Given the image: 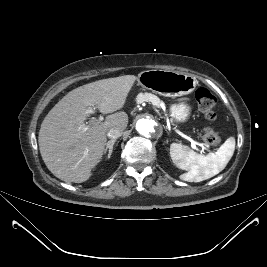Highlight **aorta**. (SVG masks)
Listing matches in <instances>:
<instances>
[{
	"mask_svg": "<svg viewBox=\"0 0 267 267\" xmlns=\"http://www.w3.org/2000/svg\"><path fill=\"white\" fill-rule=\"evenodd\" d=\"M156 127L155 121L149 118H141L136 123L137 131L145 137H150L156 131Z\"/></svg>",
	"mask_w": 267,
	"mask_h": 267,
	"instance_id": "obj_1",
	"label": "aorta"
}]
</instances>
